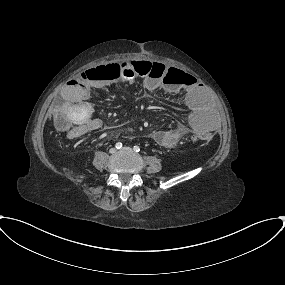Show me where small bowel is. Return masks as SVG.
I'll return each mask as SVG.
<instances>
[{
  "instance_id": "1",
  "label": "small bowel",
  "mask_w": 285,
  "mask_h": 285,
  "mask_svg": "<svg viewBox=\"0 0 285 285\" xmlns=\"http://www.w3.org/2000/svg\"><path fill=\"white\" fill-rule=\"evenodd\" d=\"M107 66H96L90 69H105ZM89 69V70H90ZM176 86H165L159 80L148 78L143 80L144 88L149 92L164 89L172 94L180 95L188 109V125H178L170 130H158L151 133V138L159 146L169 149L176 146L179 141L191 132L212 133L217 128V122L213 113L206 108L207 94L203 87L193 81ZM119 75L113 71H105L100 79H87L77 76L71 79L62 89L63 102L54 108L58 110H73L75 129L70 133L71 137H80L87 132L102 127L103 122L99 118H91L92 106L88 102L91 90L109 86L119 80Z\"/></svg>"
}]
</instances>
